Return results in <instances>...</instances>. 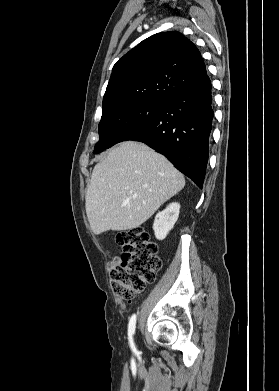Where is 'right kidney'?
Here are the masks:
<instances>
[{
    "label": "right kidney",
    "instance_id": "1",
    "mask_svg": "<svg viewBox=\"0 0 279 391\" xmlns=\"http://www.w3.org/2000/svg\"><path fill=\"white\" fill-rule=\"evenodd\" d=\"M180 212L179 203L169 204L163 211L159 212L154 220L153 230L155 237L158 240L166 238L169 231L173 228L176 223Z\"/></svg>",
    "mask_w": 279,
    "mask_h": 391
}]
</instances>
